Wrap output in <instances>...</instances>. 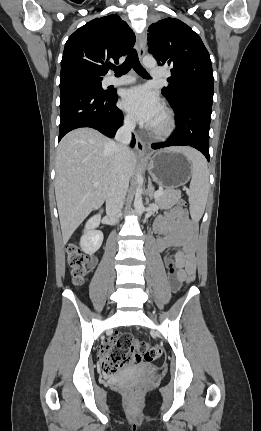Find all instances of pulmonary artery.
<instances>
[{
    "label": "pulmonary artery",
    "instance_id": "obj_1",
    "mask_svg": "<svg viewBox=\"0 0 261 431\" xmlns=\"http://www.w3.org/2000/svg\"><path fill=\"white\" fill-rule=\"evenodd\" d=\"M151 76L155 79L162 78L165 76V70L161 67H156L151 70ZM135 81V78L130 75H124L119 78L111 77L108 79L107 83L109 85H125L130 84Z\"/></svg>",
    "mask_w": 261,
    "mask_h": 431
}]
</instances>
